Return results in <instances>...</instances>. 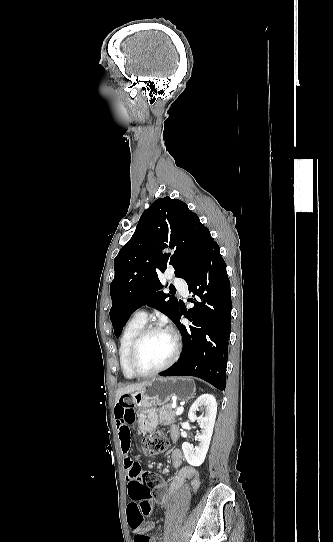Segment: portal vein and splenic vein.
<instances>
[{
    "instance_id": "obj_1",
    "label": "portal vein and splenic vein",
    "mask_w": 333,
    "mask_h": 542,
    "mask_svg": "<svg viewBox=\"0 0 333 542\" xmlns=\"http://www.w3.org/2000/svg\"><path fill=\"white\" fill-rule=\"evenodd\" d=\"M183 412V408H178V410H176L175 414L176 416H180V414H182Z\"/></svg>"
}]
</instances>
